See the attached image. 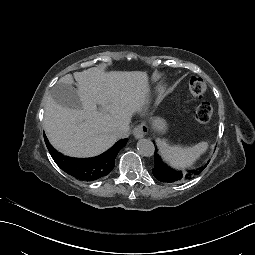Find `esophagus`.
I'll return each instance as SVG.
<instances>
[{
  "instance_id": "34e87169",
  "label": "esophagus",
  "mask_w": 255,
  "mask_h": 255,
  "mask_svg": "<svg viewBox=\"0 0 255 255\" xmlns=\"http://www.w3.org/2000/svg\"><path fill=\"white\" fill-rule=\"evenodd\" d=\"M148 131H149L148 125L145 121H143L134 128L133 134L136 138H143L146 136Z\"/></svg>"
}]
</instances>
